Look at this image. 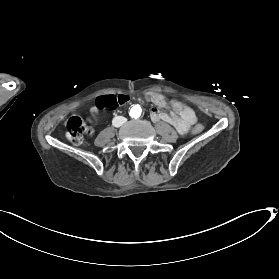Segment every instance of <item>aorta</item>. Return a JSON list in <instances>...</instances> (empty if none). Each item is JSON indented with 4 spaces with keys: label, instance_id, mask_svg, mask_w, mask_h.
I'll return each instance as SVG.
<instances>
[{
    "label": "aorta",
    "instance_id": "762f6f07",
    "mask_svg": "<svg viewBox=\"0 0 279 279\" xmlns=\"http://www.w3.org/2000/svg\"><path fill=\"white\" fill-rule=\"evenodd\" d=\"M142 113V109L139 105H135L131 108L129 115L134 118L137 119L141 116Z\"/></svg>",
    "mask_w": 279,
    "mask_h": 279
}]
</instances>
